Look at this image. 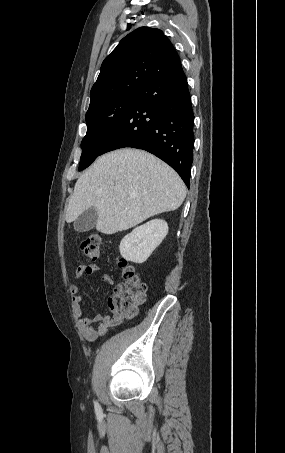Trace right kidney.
Returning <instances> with one entry per match:
<instances>
[{
  "mask_svg": "<svg viewBox=\"0 0 285 453\" xmlns=\"http://www.w3.org/2000/svg\"><path fill=\"white\" fill-rule=\"evenodd\" d=\"M168 233V224L164 220L154 219L127 234L120 242V254L126 260L143 263Z\"/></svg>",
  "mask_w": 285,
  "mask_h": 453,
  "instance_id": "obj_1",
  "label": "right kidney"
}]
</instances>
